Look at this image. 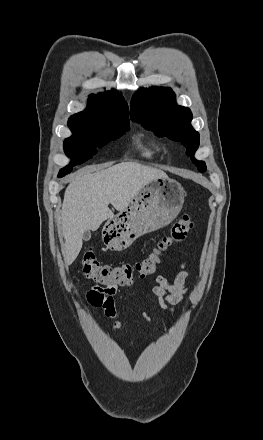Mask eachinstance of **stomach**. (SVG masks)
I'll return each instance as SVG.
<instances>
[{
	"instance_id": "stomach-1",
	"label": "stomach",
	"mask_w": 263,
	"mask_h": 440,
	"mask_svg": "<svg viewBox=\"0 0 263 440\" xmlns=\"http://www.w3.org/2000/svg\"><path fill=\"white\" fill-rule=\"evenodd\" d=\"M185 195L182 185L169 177L147 183L123 211L105 223V243L122 251L138 237L167 226L181 211Z\"/></svg>"
}]
</instances>
